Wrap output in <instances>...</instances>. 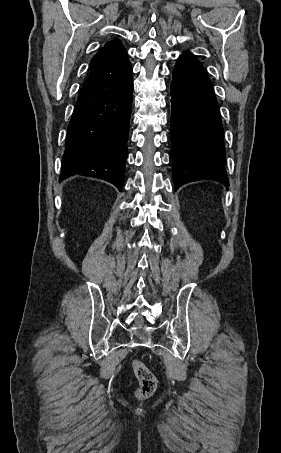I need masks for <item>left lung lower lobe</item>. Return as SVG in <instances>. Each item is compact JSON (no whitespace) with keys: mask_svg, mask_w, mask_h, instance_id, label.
<instances>
[{"mask_svg":"<svg viewBox=\"0 0 281 453\" xmlns=\"http://www.w3.org/2000/svg\"><path fill=\"white\" fill-rule=\"evenodd\" d=\"M171 104L175 190L198 180L229 187L218 103L205 68L190 52L182 54L174 67Z\"/></svg>","mask_w":281,"mask_h":453,"instance_id":"obj_1","label":"left lung lower lobe"}]
</instances>
